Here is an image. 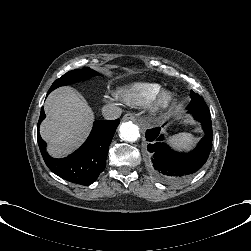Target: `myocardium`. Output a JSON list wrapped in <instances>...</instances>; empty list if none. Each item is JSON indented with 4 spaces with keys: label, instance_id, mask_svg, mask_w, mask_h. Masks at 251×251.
Returning a JSON list of instances; mask_svg holds the SVG:
<instances>
[{
    "label": "myocardium",
    "instance_id": "myocardium-1",
    "mask_svg": "<svg viewBox=\"0 0 251 251\" xmlns=\"http://www.w3.org/2000/svg\"><path fill=\"white\" fill-rule=\"evenodd\" d=\"M165 93H170V99L168 100L163 99V95ZM177 102H178L177 92L173 88H171L168 84L159 83L149 103V107L152 111L159 112L172 108L177 104Z\"/></svg>",
    "mask_w": 251,
    "mask_h": 251
}]
</instances>
